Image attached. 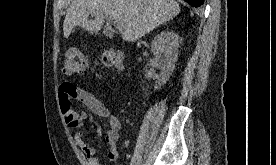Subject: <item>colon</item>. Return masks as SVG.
I'll return each instance as SVG.
<instances>
[{"label":"colon","instance_id":"obj_1","mask_svg":"<svg viewBox=\"0 0 276 165\" xmlns=\"http://www.w3.org/2000/svg\"><path fill=\"white\" fill-rule=\"evenodd\" d=\"M103 62L109 66L118 67L121 57L114 51L106 50L103 53ZM89 68L88 59L77 49H70L64 55L63 71L66 75H78Z\"/></svg>","mask_w":276,"mask_h":165}]
</instances>
